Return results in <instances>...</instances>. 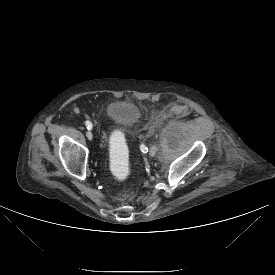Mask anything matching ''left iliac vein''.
<instances>
[{
    "instance_id": "left-iliac-vein-1",
    "label": "left iliac vein",
    "mask_w": 275,
    "mask_h": 275,
    "mask_svg": "<svg viewBox=\"0 0 275 275\" xmlns=\"http://www.w3.org/2000/svg\"><path fill=\"white\" fill-rule=\"evenodd\" d=\"M158 150L157 145H152L149 151L150 156H154Z\"/></svg>"
}]
</instances>
